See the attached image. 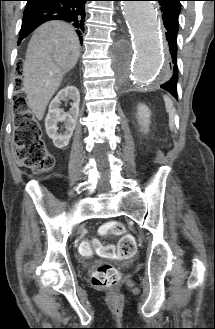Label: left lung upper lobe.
Segmentation results:
<instances>
[{"label": "left lung upper lobe", "mask_w": 215, "mask_h": 329, "mask_svg": "<svg viewBox=\"0 0 215 329\" xmlns=\"http://www.w3.org/2000/svg\"><path fill=\"white\" fill-rule=\"evenodd\" d=\"M175 5H177L178 7H180L181 8V3H180V1H182V0H171Z\"/></svg>", "instance_id": "obj_1"}]
</instances>
